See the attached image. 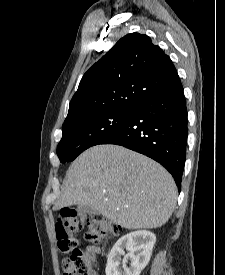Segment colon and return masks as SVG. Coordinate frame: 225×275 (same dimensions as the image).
Returning <instances> with one entry per match:
<instances>
[{"mask_svg":"<svg viewBox=\"0 0 225 275\" xmlns=\"http://www.w3.org/2000/svg\"><path fill=\"white\" fill-rule=\"evenodd\" d=\"M88 227L86 239L99 244L103 239L116 236L120 230L113 222L92 215L81 214L72 209H63L55 225L58 248L69 256L62 260L63 275H91L92 254H86L77 248L73 233Z\"/></svg>","mask_w":225,"mask_h":275,"instance_id":"colon-1","label":"colon"}]
</instances>
